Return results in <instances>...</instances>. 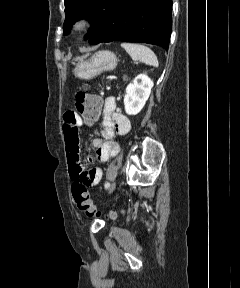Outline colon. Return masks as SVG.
I'll return each instance as SVG.
<instances>
[{"label":"colon","instance_id":"obj_1","mask_svg":"<svg viewBox=\"0 0 240 288\" xmlns=\"http://www.w3.org/2000/svg\"><path fill=\"white\" fill-rule=\"evenodd\" d=\"M75 107L86 123H94L100 117L101 98L88 86H84L75 96ZM72 196L78 209L88 216L98 215L87 188L75 183L72 185ZM113 217L114 213H110Z\"/></svg>","mask_w":240,"mask_h":288}]
</instances>
